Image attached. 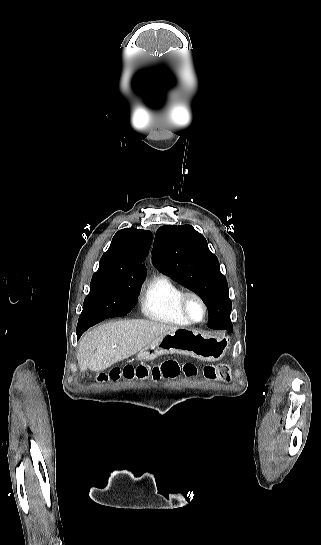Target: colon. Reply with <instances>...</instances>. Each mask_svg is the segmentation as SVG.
<instances>
[{"mask_svg": "<svg viewBox=\"0 0 321 545\" xmlns=\"http://www.w3.org/2000/svg\"><path fill=\"white\" fill-rule=\"evenodd\" d=\"M203 375L212 381L227 382L231 377V367L227 363L209 364L202 368ZM193 376L197 373V367L191 362L180 363L177 360L169 359L160 365L148 367L144 365L126 366L114 368L99 376V381H117L125 379H174L180 374Z\"/></svg>", "mask_w": 321, "mask_h": 545, "instance_id": "obj_1", "label": "colon"}]
</instances>
